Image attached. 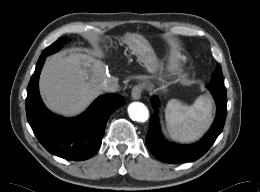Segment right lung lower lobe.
Instances as JSON below:
<instances>
[{
	"mask_svg": "<svg viewBox=\"0 0 260 192\" xmlns=\"http://www.w3.org/2000/svg\"><path fill=\"white\" fill-rule=\"evenodd\" d=\"M46 57H40L28 85L26 113L39 142L51 153L67 160H86L99 149L107 120L125 103L122 96H100L85 113L74 119H63L43 104L38 80Z\"/></svg>",
	"mask_w": 260,
	"mask_h": 192,
	"instance_id": "98d812e1",
	"label": "right lung lower lobe"
}]
</instances>
